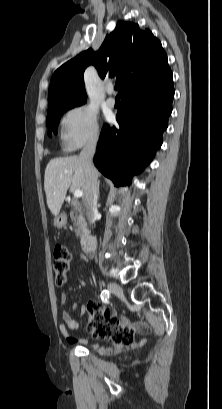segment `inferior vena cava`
<instances>
[{
  "label": "inferior vena cava",
  "mask_w": 222,
  "mask_h": 409,
  "mask_svg": "<svg viewBox=\"0 0 222 409\" xmlns=\"http://www.w3.org/2000/svg\"><path fill=\"white\" fill-rule=\"evenodd\" d=\"M96 145L97 138L91 139L84 146L79 155L85 172V180L83 184L84 202L86 207V216L90 224L95 223L96 215L98 213V172L93 165V156L95 154Z\"/></svg>",
  "instance_id": "obj_1"
}]
</instances>
